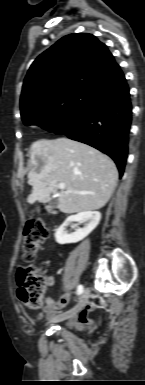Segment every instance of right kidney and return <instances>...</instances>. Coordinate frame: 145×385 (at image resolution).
<instances>
[{"label":"right kidney","mask_w":145,"mask_h":385,"mask_svg":"<svg viewBox=\"0 0 145 385\" xmlns=\"http://www.w3.org/2000/svg\"><path fill=\"white\" fill-rule=\"evenodd\" d=\"M101 220V213L98 211H83L76 215L69 216L64 223L56 230L55 240L59 244L77 243L88 236L99 224ZM87 221L88 224L76 229L72 234L66 233V226L70 222H83Z\"/></svg>","instance_id":"1"}]
</instances>
